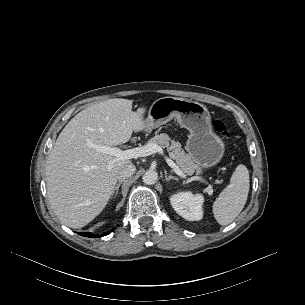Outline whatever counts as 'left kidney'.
I'll use <instances>...</instances> for the list:
<instances>
[{
	"label": "left kidney",
	"instance_id": "1",
	"mask_svg": "<svg viewBox=\"0 0 305 305\" xmlns=\"http://www.w3.org/2000/svg\"><path fill=\"white\" fill-rule=\"evenodd\" d=\"M173 209L189 221H198L203 217L204 198L201 194L191 192H180L170 198Z\"/></svg>",
	"mask_w": 305,
	"mask_h": 305
}]
</instances>
